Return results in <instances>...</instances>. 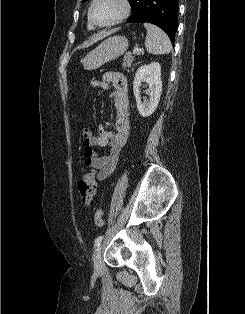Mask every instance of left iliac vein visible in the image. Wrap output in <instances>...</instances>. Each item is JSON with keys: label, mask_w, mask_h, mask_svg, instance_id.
<instances>
[{"label": "left iliac vein", "mask_w": 245, "mask_h": 314, "mask_svg": "<svg viewBox=\"0 0 245 314\" xmlns=\"http://www.w3.org/2000/svg\"><path fill=\"white\" fill-rule=\"evenodd\" d=\"M93 264L95 272L100 273L102 271L101 246H98L95 250Z\"/></svg>", "instance_id": "obj_1"}]
</instances>
